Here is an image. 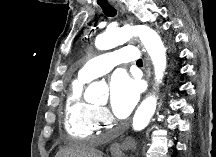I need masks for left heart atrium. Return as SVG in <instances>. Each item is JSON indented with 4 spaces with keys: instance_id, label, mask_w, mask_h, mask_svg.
<instances>
[{
    "instance_id": "obj_1",
    "label": "left heart atrium",
    "mask_w": 216,
    "mask_h": 157,
    "mask_svg": "<svg viewBox=\"0 0 216 157\" xmlns=\"http://www.w3.org/2000/svg\"><path fill=\"white\" fill-rule=\"evenodd\" d=\"M140 88L125 72H116L110 80V105L116 116L127 117L136 106Z\"/></svg>"
}]
</instances>
